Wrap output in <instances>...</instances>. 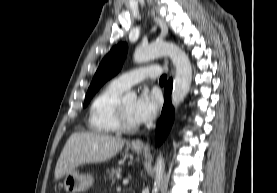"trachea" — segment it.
<instances>
[{
	"label": "trachea",
	"instance_id": "trachea-1",
	"mask_svg": "<svg viewBox=\"0 0 277 193\" xmlns=\"http://www.w3.org/2000/svg\"><path fill=\"white\" fill-rule=\"evenodd\" d=\"M166 80H167V76H166V75H163V76H161L159 82H160V83H165Z\"/></svg>",
	"mask_w": 277,
	"mask_h": 193
}]
</instances>
